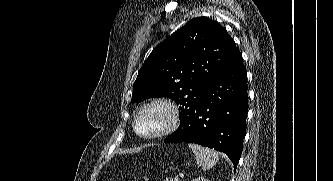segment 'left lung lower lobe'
Instances as JSON below:
<instances>
[{"instance_id": "obj_1", "label": "left lung lower lobe", "mask_w": 333, "mask_h": 181, "mask_svg": "<svg viewBox=\"0 0 333 181\" xmlns=\"http://www.w3.org/2000/svg\"><path fill=\"white\" fill-rule=\"evenodd\" d=\"M248 86L239 54L213 78L200 102L180 116V126L164 142H191L225 153L236 170L248 112Z\"/></svg>"}]
</instances>
